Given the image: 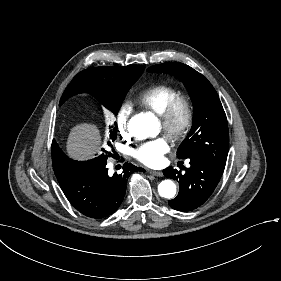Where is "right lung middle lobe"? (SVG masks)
Wrapping results in <instances>:
<instances>
[{
	"mask_svg": "<svg viewBox=\"0 0 281 281\" xmlns=\"http://www.w3.org/2000/svg\"><path fill=\"white\" fill-rule=\"evenodd\" d=\"M126 93L97 97L100 103L113 113L117 114ZM103 155V154H102ZM101 156V155H100ZM95 159V158H94ZM93 160V159H91ZM76 161L68 158L58 146H52V162L56 176L77 174L86 168L90 161Z\"/></svg>",
	"mask_w": 281,
	"mask_h": 281,
	"instance_id": "obj_1",
	"label": "right lung middle lobe"
}]
</instances>
